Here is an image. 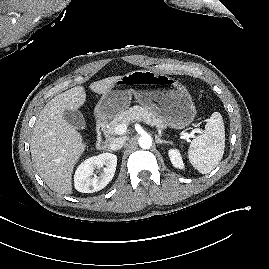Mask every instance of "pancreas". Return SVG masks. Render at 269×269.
Returning <instances> with one entry per match:
<instances>
[{
  "label": "pancreas",
  "mask_w": 269,
  "mask_h": 269,
  "mask_svg": "<svg viewBox=\"0 0 269 269\" xmlns=\"http://www.w3.org/2000/svg\"><path fill=\"white\" fill-rule=\"evenodd\" d=\"M134 121H144L152 126H157L159 128L165 127L164 122L156 116V114L146 107L133 106L128 110L121 112L116 116L113 121L109 123L108 133L115 134V128L120 124L128 125Z\"/></svg>",
  "instance_id": "obj_1"
}]
</instances>
